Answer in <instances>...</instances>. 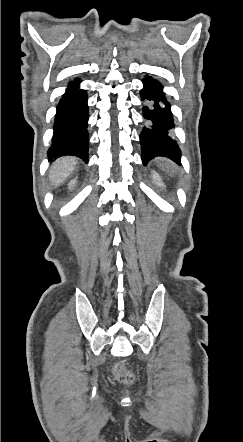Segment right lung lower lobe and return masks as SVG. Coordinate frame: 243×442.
<instances>
[{
  "instance_id": "right-lung-lower-lobe-1",
  "label": "right lung lower lobe",
  "mask_w": 243,
  "mask_h": 442,
  "mask_svg": "<svg viewBox=\"0 0 243 442\" xmlns=\"http://www.w3.org/2000/svg\"><path fill=\"white\" fill-rule=\"evenodd\" d=\"M79 83V79L70 82L57 105L49 160L74 155L88 161L87 95L79 89Z\"/></svg>"
}]
</instances>
